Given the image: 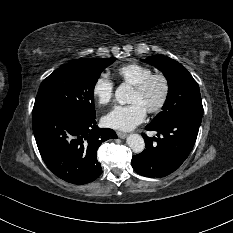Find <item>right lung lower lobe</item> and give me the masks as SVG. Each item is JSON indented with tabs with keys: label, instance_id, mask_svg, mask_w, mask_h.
<instances>
[{
	"label": "right lung lower lobe",
	"instance_id": "obj_1",
	"mask_svg": "<svg viewBox=\"0 0 233 233\" xmlns=\"http://www.w3.org/2000/svg\"><path fill=\"white\" fill-rule=\"evenodd\" d=\"M32 117L41 157L56 176L69 183L86 184L101 175L97 150L102 142L117 138L115 131L99 128L96 116L38 110Z\"/></svg>",
	"mask_w": 233,
	"mask_h": 233
}]
</instances>
